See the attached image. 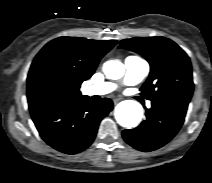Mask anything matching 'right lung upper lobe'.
Segmentation results:
<instances>
[{
  "instance_id": "right-lung-upper-lobe-1",
  "label": "right lung upper lobe",
  "mask_w": 212,
  "mask_h": 183,
  "mask_svg": "<svg viewBox=\"0 0 212 183\" xmlns=\"http://www.w3.org/2000/svg\"><path fill=\"white\" fill-rule=\"evenodd\" d=\"M115 40L59 37L47 43L34 58L27 77V98L32 110L51 100L80 101L81 83L89 79Z\"/></svg>"
}]
</instances>
